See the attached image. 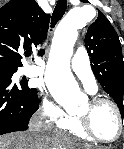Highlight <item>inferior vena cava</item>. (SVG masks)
<instances>
[{"label":"inferior vena cava","mask_w":124,"mask_h":149,"mask_svg":"<svg viewBox=\"0 0 124 149\" xmlns=\"http://www.w3.org/2000/svg\"><path fill=\"white\" fill-rule=\"evenodd\" d=\"M44 115L41 112L35 113L29 122V136L31 139H37L43 135L46 126L43 123Z\"/></svg>","instance_id":"inferior-vena-cava-1"}]
</instances>
